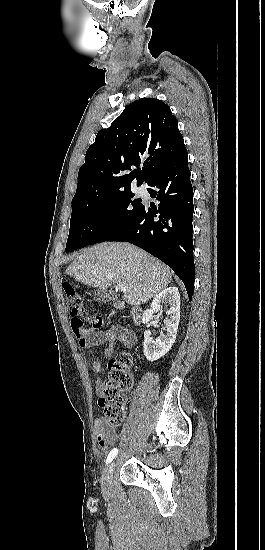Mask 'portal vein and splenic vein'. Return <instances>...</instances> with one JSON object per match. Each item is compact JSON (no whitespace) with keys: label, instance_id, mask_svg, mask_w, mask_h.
<instances>
[{"label":"portal vein and splenic vein","instance_id":"obj_1","mask_svg":"<svg viewBox=\"0 0 265 550\" xmlns=\"http://www.w3.org/2000/svg\"><path fill=\"white\" fill-rule=\"evenodd\" d=\"M117 289L121 292L127 291L126 286L124 284H121V283L117 284Z\"/></svg>","mask_w":265,"mask_h":550}]
</instances>
